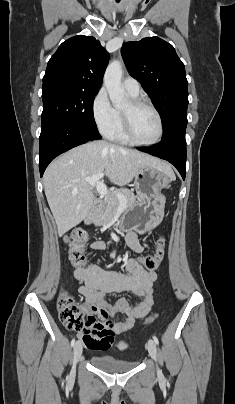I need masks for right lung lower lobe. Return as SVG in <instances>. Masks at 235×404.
<instances>
[{"mask_svg":"<svg viewBox=\"0 0 235 404\" xmlns=\"http://www.w3.org/2000/svg\"><path fill=\"white\" fill-rule=\"evenodd\" d=\"M98 131L73 124H55L43 127L39 138L40 175L58 155L88 141L100 139Z\"/></svg>","mask_w":235,"mask_h":404,"instance_id":"1","label":"right lung lower lobe"}]
</instances>
